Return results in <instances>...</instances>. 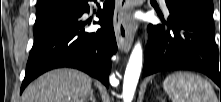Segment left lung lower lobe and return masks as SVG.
Masks as SVG:
<instances>
[{
  "label": "left lung lower lobe",
  "mask_w": 221,
  "mask_h": 102,
  "mask_svg": "<svg viewBox=\"0 0 221 102\" xmlns=\"http://www.w3.org/2000/svg\"><path fill=\"white\" fill-rule=\"evenodd\" d=\"M170 16L162 25H149L143 75L166 70H196L221 89V46L215 42L214 23L195 11L166 0ZM164 23L166 26H164Z\"/></svg>",
  "instance_id": "1"
}]
</instances>
